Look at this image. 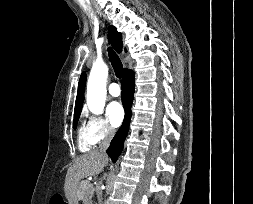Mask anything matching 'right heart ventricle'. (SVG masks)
<instances>
[{
  "instance_id": "right-heart-ventricle-1",
  "label": "right heart ventricle",
  "mask_w": 253,
  "mask_h": 204,
  "mask_svg": "<svg viewBox=\"0 0 253 204\" xmlns=\"http://www.w3.org/2000/svg\"><path fill=\"white\" fill-rule=\"evenodd\" d=\"M77 142H78V147H79L80 151H83V152L90 150L91 147L93 146V144L89 138L85 124L81 125L78 130Z\"/></svg>"
}]
</instances>
